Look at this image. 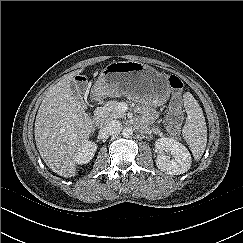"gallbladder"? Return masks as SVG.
Returning <instances> with one entry per match:
<instances>
[{"instance_id":"gallbladder-1","label":"gallbladder","mask_w":243,"mask_h":243,"mask_svg":"<svg viewBox=\"0 0 243 243\" xmlns=\"http://www.w3.org/2000/svg\"><path fill=\"white\" fill-rule=\"evenodd\" d=\"M75 95L78 96L77 93H75ZM83 105L85 106V104H83Z\"/></svg>"}]
</instances>
